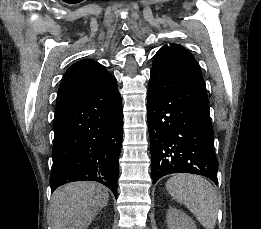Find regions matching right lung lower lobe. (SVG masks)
<instances>
[{"label": "right lung lower lobe", "instance_id": "98d812e1", "mask_svg": "<svg viewBox=\"0 0 261 229\" xmlns=\"http://www.w3.org/2000/svg\"><path fill=\"white\" fill-rule=\"evenodd\" d=\"M122 123L113 76L56 112L51 190L69 182L96 181L117 197Z\"/></svg>", "mask_w": 261, "mask_h": 229}]
</instances>
